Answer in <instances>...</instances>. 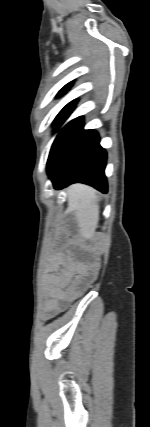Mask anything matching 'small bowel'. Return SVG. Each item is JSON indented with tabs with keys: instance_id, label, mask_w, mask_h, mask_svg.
<instances>
[{
	"instance_id": "small-bowel-1",
	"label": "small bowel",
	"mask_w": 150,
	"mask_h": 427,
	"mask_svg": "<svg viewBox=\"0 0 150 427\" xmlns=\"http://www.w3.org/2000/svg\"><path fill=\"white\" fill-rule=\"evenodd\" d=\"M69 274L50 275L47 280L46 311L48 314L59 312L78 292V285L69 286Z\"/></svg>"
}]
</instances>
